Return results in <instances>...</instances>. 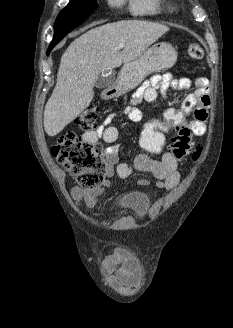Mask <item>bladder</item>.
Masks as SVG:
<instances>
[{"label":"bladder","mask_w":233,"mask_h":328,"mask_svg":"<svg viewBox=\"0 0 233 328\" xmlns=\"http://www.w3.org/2000/svg\"><path fill=\"white\" fill-rule=\"evenodd\" d=\"M150 205V198L146 193L135 192L125 196L122 200L124 208L134 211L136 214H143Z\"/></svg>","instance_id":"1"}]
</instances>
